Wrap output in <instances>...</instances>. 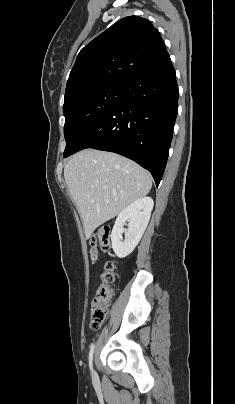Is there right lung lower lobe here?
<instances>
[{
	"instance_id": "98d812e1",
	"label": "right lung lower lobe",
	"mask_w": 235,
	"mask_h": 404,
	"mask_svg": "<svg viewBox=\"0 0 235 404\" xmlns=\"http://www.w3.org/2000/svg\"><path fill=\"white\" fill-rule=\"evenodd\" d=\"M177 110L176 74L168 57L126 81L119 103L89 129L67 156L85 148L118 153L149 170L158 186L167 163Z\"/></svg>"
}]
</instances>
